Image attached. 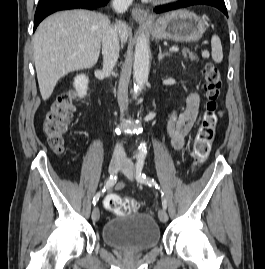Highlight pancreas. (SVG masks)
<instances>
[{
    "label": "pancreas",
    "mask_w": 265,
    "mask_h": 269,
    "mask_svg": "<svg viewBox=\"0 0 265 269\" xmlns=\"http://www.w3.org/2000/svg\"><path fill=\"white\" fill-rule=\"evenodd\" d=\"M182 56L184 58H189L192 61L198 60V56L195 55L193 52L189 51L188 49L182 50Z\"/></svg>",
    "instance_id": "pancreas-1"
}]
</instances>
